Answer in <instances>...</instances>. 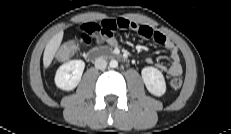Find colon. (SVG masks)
<instances>
[{"label": "colon", "instance_id": "5ec220e1", "mask_svg": "<svg viewBox=\"0 0 231 134\" xmlns=\"http://www.w3.org/2000/svg\"><path fill=\"white\" fill-rule=\"evenodd\" d=\"M74 49H75V45L73 43H69V44L62 46L56 54L57 60L58 61L67 60L73 54ZM170 86L173 89H179L182 86V79H180L179 77L173 78L170 81Z\"/></svg>", "mask_w": 231, "mask_h": 134}]
</instances>
